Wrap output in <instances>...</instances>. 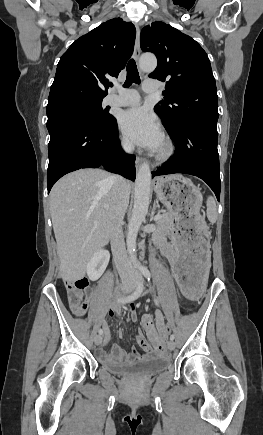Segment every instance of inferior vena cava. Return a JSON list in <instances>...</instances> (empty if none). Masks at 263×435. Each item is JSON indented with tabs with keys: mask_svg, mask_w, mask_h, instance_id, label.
I'll use <instances>...</instances> for the list:
<instances>
[{
	"mask_svg": "<svg viewBox=\"0 0 263 435\" xmlns=\"http://www.w3.org/2000/svg\"><path fill=\"white\" fill-rule=\"evenodd\" d=\"M134 149L132 144L125 146V151L131 153ZM112 203L109 217V235L111 250L118 273L122 275L132 274L133 269L127 261V253L122 230V222L129 203V190L126 180L121 176L113 175Z\"/></svg>",
	"mask_w": 263,
	"mask_h": 435,
	"instance_id": "inferior-vena-cava-1",
	"label": "inferior vena cava"
}]
</instances>
